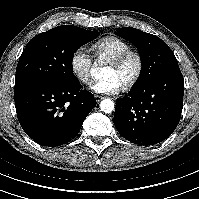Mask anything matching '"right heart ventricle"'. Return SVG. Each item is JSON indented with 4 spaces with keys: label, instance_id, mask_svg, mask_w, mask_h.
<instances>
[{
    "label": "right heart ventricle",
    "instance_id": "right-heart-ventricle-1",
    "mask_svg": "<svg viewBox=\"0 0 199 199\" xmlns=\"http://www.w3.org/2000/svg\"><path fill=\"white\" fill-rule=\"evenodd\" d=\"M130 49V44L118 37H106L93 44L92 50L98 62H111Z\"/></svg>",
    "mask_w": 199,
    "mask_h": 199
}]
</instances>
